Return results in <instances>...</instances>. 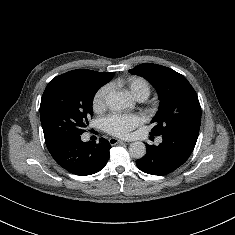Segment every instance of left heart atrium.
Segmentation results:
<instances>
[{
    "label": "left heart atrium",
    "mask_w": 235,
    "mask_h": 235,
    "mask_svg": "<svg viewBox=\"0 0 235 235\" xmlns=\"http://www.w3.org/2000/svg\"><path fill=\"white\" fill-rule=\"evenodd\" d=\"M143 122L138 114L114 113L104 118L102 125L106 132L118 137H127L130 132Z\"/></svg>",
    "instance_id": "1"
}]
</instances>
